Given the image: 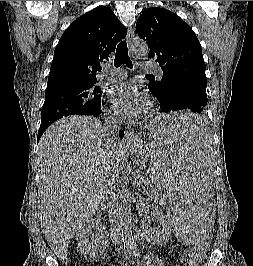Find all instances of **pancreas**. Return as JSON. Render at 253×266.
I'll return each instance as SVG.
<instances>
[{"mask_svg": "<svg viewBox=\"0 0 253 266\" xmlns=\"http://www.w3.org/2000/svg\"><path fill=\"white\" fill-rule=\"evenodd\" d=\"M143 182L148 186L151 185L152 182H150V177L143 179Z\"/></svg>", "mask_w": 253, "mask_h": 266, "instance_id": "obj_1", "label": "pancreas"}]
</instances>
